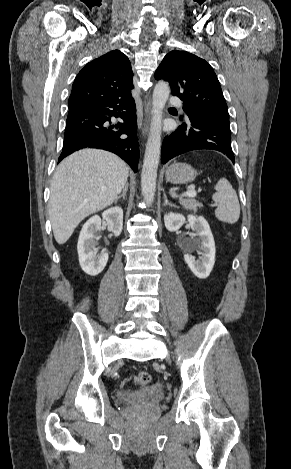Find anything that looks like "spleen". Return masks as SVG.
Here are the masks:
<instances>
[{
    "mask_svg": "<svg viewBox=\"0 0 291 469\" xmlns=\"http://www.w3.org/2000/svg\"><path fill=\"white\" fill-rule=\"evenodd\" d=\"M214 188L216 193L212 199L217 205L216 218L222 222L236 223L240 216V204L236 191L226 178H221ZM171 195L175 197L176 194L171 192Z\"/></svg>",
    "mask_w": 291,
    "mask_h": 469,
    "instance_id": "1",
    "label": "spleen"
}]
</instances>
